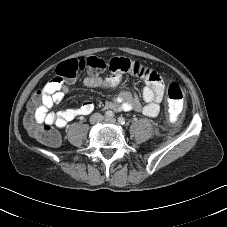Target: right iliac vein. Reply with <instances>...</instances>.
Here are the masks:
<instances>
[{
  "instance_id": "right-iliac-vein-1",
  "label": "right iliac vein",
  "mask_w": 227,
  "mask_h": 227,
  "mask_svg": "<svg viewBox=\"0 0 227 227\" xmlns=\"http://www.w3.org/2000/svg\"><path fill=\"white\" fill-rule=\"evenodd\" d=\"M102 120H103V116H102V115H100V114H95V115L92 116L90 122H91L92 124H96V123H98V122H101Z\"/></svg>"
}]
</instances>
